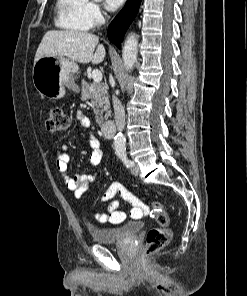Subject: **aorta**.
I'll return each mask as SVG.
<instances>
[{"mask_svg":"<svg viewBox=\"0 0 247 296\" xmlns=\"http://www.w3.org/2000/svg\"><path fill=\"white\" fill-rule=\"evenodd\" d=\"M95 2H99L101 0H94ZM137 46H138V38L135 34H130L123 46L122 50V58L124 62V66L127 71L133 70L135 63L137 61ZM114 147L115 149H124L125 148V137L122 134H117L114 138Z\"/></svg>","mask_w":247,"mask_h":296,"instance_id":"1","label":"aorta"}]
</instances>
